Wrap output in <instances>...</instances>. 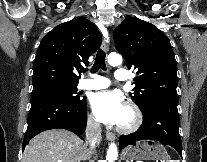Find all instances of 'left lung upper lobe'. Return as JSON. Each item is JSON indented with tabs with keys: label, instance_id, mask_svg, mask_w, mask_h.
<instances>
[{
	"label": "left lung upper lobe",
	"instance_id": "1",
	"mask_svg": "<svg viewBox=\"0 0 207 162\" xmlns=\"http://www.w3.org/2000/svg\"><path fill=\"white\" fill-rule=\"evenodd\" d=\"M113 36L128 68L138 70L130 97L141 111L158 98L178 100L176 60L162 31L151 23L129 17L114 30Z\"/></svg>",
	"mask_w": 207,
	"mask_h": 162
}]
</instances>
